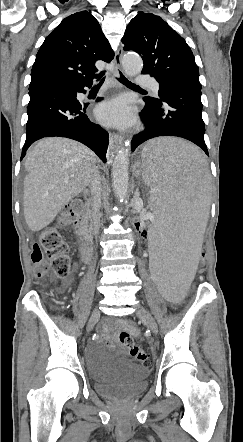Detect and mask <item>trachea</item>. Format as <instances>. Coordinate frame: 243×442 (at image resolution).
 <instances>
[{"label":"trachea","instance_id":"trachea-1","mask_svg":"<svg viewBox=\"0 0 243 442\" xmlns=\"http://www.w3.org/2000/svg\"><path fill=\"white\" fill-rule=\"evenodd\" d=\"M119 75H120V77L117 78L118 81L121 82L122 84H124L125 86L133 87V88H140L139 86H137V85L133 84L132 82H130L121 72H119ZM104 79L105 78H103L98 83V85H102V83L104 82Z\"/></svg>","mask_w":243,"mask_h":442}]
</instances>
